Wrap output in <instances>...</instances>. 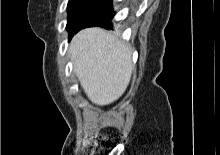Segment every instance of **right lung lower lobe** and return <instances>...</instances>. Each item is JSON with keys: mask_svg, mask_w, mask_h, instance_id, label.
<instances>
[{"mask_svg": "<svg viewBox=\"0 0 220 155\" xmlns=\"http://www.w3.org/2000/svg\"><path fill=\"white\" fill-rule=\"evenodd\" d=\"M114 15H115V12H113V10H110V11L106 12L105 14L95 18L94 20H92L88 24L84 25L83 27L72 32L71 36L74 33L78 32L80 29L86 28V27L100 26V27H104L106 29H112L111 20Z\"/></svg>", "mask_w": 220, "mask_h": 155, "instance_id": "98d812e1", "label": "right lung lower lobe"}]
</instances>
